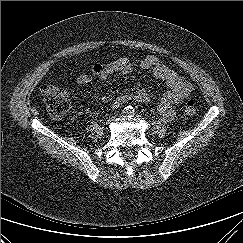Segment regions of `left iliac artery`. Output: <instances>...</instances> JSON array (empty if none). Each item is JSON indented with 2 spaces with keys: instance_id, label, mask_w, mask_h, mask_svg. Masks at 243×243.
<instances>
[{
  "instance_id": "44dca946",
  "label": "left iliac artery",
  "mask_w": 243,
  "mask_h": 243,
  "mask_svg": "<svg viewBox=\"0 0 243 243\" xmlns=\"http://www.w3.org/2000/svg\"><path fill=\"white\" fill-rule=\"evenodd\" d=\"M134 115H135V114H134V111H130L129 117H130V118H133Z\"/></svg>"
}]
</instances>
